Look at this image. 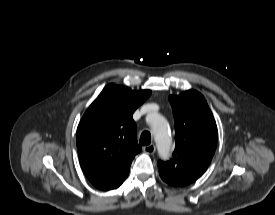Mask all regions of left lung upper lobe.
Returning a JSON list of instances; mask_svg holds the SVG:
<instances>
[{"instance_id":"5c2ea615","label":"left lung upper lobe","mask_w":275,"mask_h":215,"mask_svg":"<svg viewBox=\"0 0 275 215\" xmlns=\"http://www.w3.org/2000/svg\"><path fill=\"white\" fill-rule=\"evenodd\" d=\"M175 119L173 158L159 161L160 176L184 186L208 168L217 146V126L205 98L195 90L169 96Z\"/></svg>"}]
</instances>
